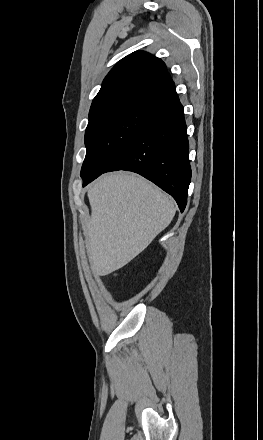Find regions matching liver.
<instances>
[{
	"instance_id": "obj_1",
	"label": "liver",
	"mask_w": 263,
	"mask_h": 440,
	"mask_svg": "<svg viewBox=\"0 0 263 440\" xmlns=\"http://www.w3.org/2000/svg\"><path fill=\"white\" fill-rule=\"evenodd\" d=\"M91 218L85 226L92 272L105 276L139 253L172 221L174 202L135 174L111 173L88 189Z\"/></svg>"
}]
</instances>
